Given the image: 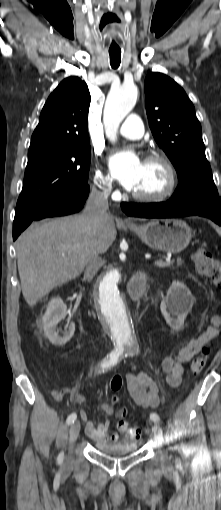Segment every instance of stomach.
<instances>
[{
    "label": "stomach",
    "instance_id": "0dacf381",
    "mask_svg": "<svg viewBox=\"0 0 221 510\" xmlns=\"http://www.w3.org/2000/svg\"><path fill=\"white\" fill-rule=\"evenodd\" d=\"M150 248L179 253L184 250L192 236L190 227L179 219L152 220L139 226H128Z\"/></svg>",
    "mask_w": 221,
    "mask_h": 510
}]
</instances>
